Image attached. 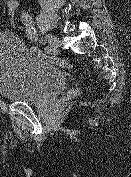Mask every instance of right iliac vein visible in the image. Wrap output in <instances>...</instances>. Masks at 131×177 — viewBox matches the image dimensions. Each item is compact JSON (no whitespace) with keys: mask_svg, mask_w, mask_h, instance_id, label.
Masks as SVG:
<instances>
[{"mask_svg":"<svg viewBox=\"0 0 131 177\" xmlns=\"http://www.w3.org/2000/svg\"><path fill=\"white\" fill-rule=\"evenodd\" d=\"M46 41L49 43L50 46L56 48L60 45V40L54 35L46 34L45 35Z\"/></svg>","mask_w":131,"mask_h":177,"instance_id":"1","label":"right iliac vein"}]
</instances>
